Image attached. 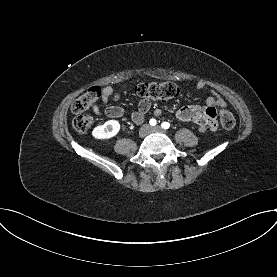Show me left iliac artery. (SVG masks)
Segmentation results:
<instances>
[{
	"instance_id": "obj_1",
	"label": "left iliac artery",
	"mask_w": 277,
	"mask_h": 277,
	"mask_svg": "<svg viewBox=\"0 0 277 277\" xmlns=\"http://www.w3.org/2000/svg\"><path fill=\"white\" fill-rule=\"evenodd\" d=\"M161 126H162V128H164V129H168V128L170 127V124H169L168 122H163V123L161 124Z\"/></svg>"
}]
</instances>
